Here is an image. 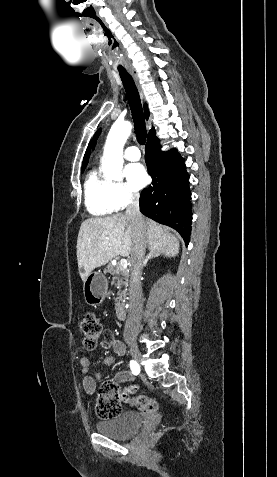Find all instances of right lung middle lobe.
<instances>
[{"label": "right lung middle lobe", "mask_w": 277, "mask_h": 477, "mask_svg": "<svg viewBox=\"0 0 277 477\" xmlns=\"http://www.w3.org/2000/svg\"><path fill=\"white\" fill-rule=\"evenodd\" d=\"M83 171H84V168L81 170V172H83Z\"/></svg>", "instance_id": "right-lung-middle-lobe-1"}]
</instances>
